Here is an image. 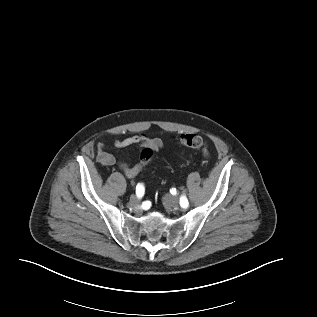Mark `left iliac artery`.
<instances>
[{
  "mask_svg": "<svg viewBox=\"0 0 317 317\" xmlns=\"http://www.w3.org/2000/svg\"><path fill=\"white\" fill-rule=\"evenodd\" d=\"M180 205L183 207V208H187L188 205H189V202L187 200V198L185 196H181L180 198Z\"/></svg>",
  "mask_w": 317,
  "mask_h": 317,
  "instance_id": "44dca946",
  "label": "left iliac artery"
}]
</instances>
